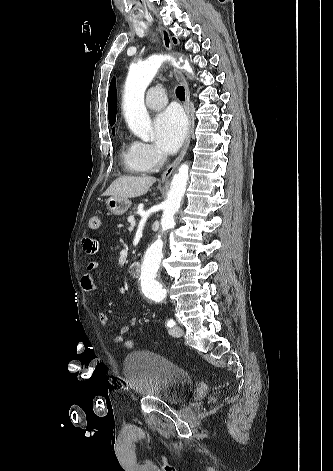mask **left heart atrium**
<instances>
[{
  "label": "left heart atrium",
  "mask_w": 333,
  "mask_h": 471,
  "mask_svg": "<svg viewBox=\"0 0 333 471\" xmlns=\"http://www.w3.org/2000/svg\"><path fill=\"white\" fill-rule=\"evenodd\" d=\"M154 131L158 148L172 154L180 147L187 131V121L177 108H168L154 121Z\"/></svg>",
  "instance_id": "1"
}]
</instances>
